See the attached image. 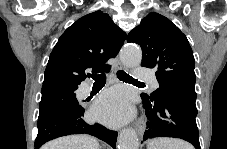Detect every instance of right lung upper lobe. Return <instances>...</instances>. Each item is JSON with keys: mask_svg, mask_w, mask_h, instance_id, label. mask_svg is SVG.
I'll return each instance as SVG.
<instances>
[{"mask_svg": "<svg viewBox=\"0 0 227 149\" xmlns=\"http://www.w3.org/2000/svg\"><path fill=\"white\" fill-rule=\"evenodd\" d=\"M125 38V32L102 11L81 17L65 30L53 48L42 88L55 84L78 86L88 69L93 73L109 71L106 62L118 54Z\"/></svg>", "mask_w": 227, "mask_h": 149, "instance_id": "cb5924a9", "label": "right lung upper lobe"}]
</instances>
